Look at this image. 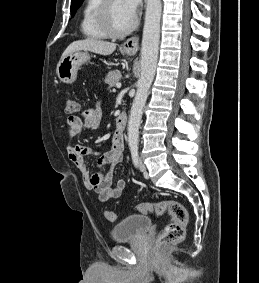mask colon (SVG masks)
Masks as SVG:
<instances>
[{
  "label": "colon",
  "instance_id": "obj_1",
  "mask_svg": "<svg viewBox=\"0 0 259 283\" xmlns=\"http://www.w3.org/2000/svg\"><path fill=\"white\" fill-rule=\"evenodd\" d=\"M65 111L68 114H75L79 111L78 102L71 97L65 99ZM136 209L144 214L152 213L157 216L169 214L172 218L164 230L157 236V246H167L181 242L185 237V228L189 220L187 209L176 200H166L156 204L139 203ZM105 217L109 222L116 219L113 211H106Z\"/></svg>",
  "mask_w": 259,
  "mask_h": 283
}]
</instances>
